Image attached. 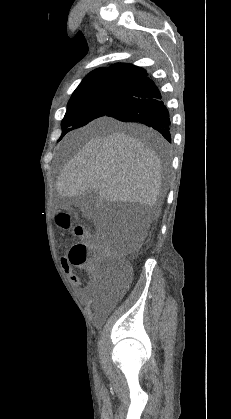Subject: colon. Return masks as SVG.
Instances as JSON below:
<instances>
[{"label": "colon", "mask_w": 231, "mask_h": 419, "mask_svg": "<svg viewBox=\"0 0 231 419\" xmlns=\"http://www.w3.org/2000/svg\"><path fill=\"white\" fill-rule=\"evenodd\" d=\"M58 223L63 228H69L70 215L60 213ZM73 231L79 238L88 235L86 228L80 224L73 225ZM67 261L74 266L88 264L97 282L100 285H107L110 290L120 287L131 273L125 253L115 252L96 240L74 244L69 251Z\"/></svg>", "instance_id": "1"}]
</instances>
